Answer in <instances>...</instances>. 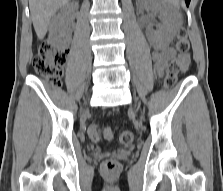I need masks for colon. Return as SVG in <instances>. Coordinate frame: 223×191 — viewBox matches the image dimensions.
Returning a JSON list of instances; mask_svg holds the SVG:
<instances>
[{
    "label": "colon",
    "mask_w": 223,
    "mask_h": 191,
    "mask_svg": "<svg viewBox=\"0 0 223 191\" xmlns=\"http://www.w3.org/2000/svg\"><path fill=\"white\" fill-rule=\"evenodd\" d=\"M189 49L190 42L186 31L181 29L177 36L176 50L179 55H185L189 52ZM66 61L67 53L65 51L55 49L50 44H45L34 57L32 64L36 73L47 78L53 88H58L61 83ZM180 70L181 64L179 57L172 59L167 67L165 79V87L167 89H172L175 86ZM90 137L95 142H99L101 139L108 140L112 138V130L109 127L100 128L93 126L90 128ZM133 139L134 135L129 130H125L120 134V142L124 145L131 144ZM119 170L120 164L115 160H109L103 164V171L107 174H116Z\"/></svg>",
    "instance_id": "colon-1"
}]
</instances>
